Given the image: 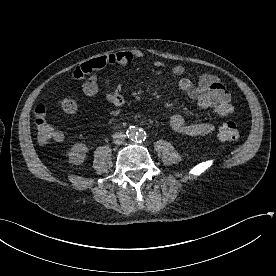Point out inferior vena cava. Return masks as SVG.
I'll return each mask as SVG.
<instances>
[{
  "mask_svg": "<svg viewBox=\"0 0 276 276\" xmlns=\"http://www.w3.org/2000/svg\"><path fill=\"white\" fill-rule=\"evenodd\" d=\"M125 137H126V135L123 132H116L113 135L114 143L118 144V145L123 144Z\"/></svg>",
  "mask_w": 276,
  "mask_h": 276,
  "instance_id": "inferior-vena-cava-1",
  "label": "inferior vena cava"
}]
</instances>
